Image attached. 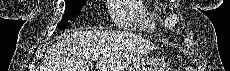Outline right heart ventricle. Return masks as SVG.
<instances>
[{
  "instance_id": "e07e8e85",
  "label": "right heart ventricle",
  "mask_w": 230,
  "mask_h": 71,
  "mask_svg": "<svg viewBox=\"0 0 230 71\" xmlns=\"http://www.w3.org/2000/svg\"><path fill=\"white\" fill-rule=\"evenodd\" d=\"M111 12L115 23L121 28L147 29L154 25V16L143 0H117Z\"/></svg>"
}]
</instances>
